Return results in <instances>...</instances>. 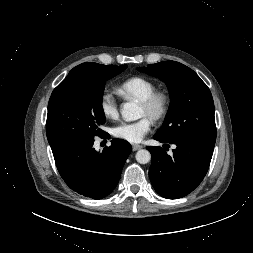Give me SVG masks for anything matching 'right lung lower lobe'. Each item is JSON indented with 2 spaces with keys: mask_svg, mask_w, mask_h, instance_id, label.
Listing matches in <instances>:
<instances>
[{
  "mask_svg": "<svg viewBox=\"0 0 253 253\" xmlns=\"http://www.w3.org/2000/svg\"><path fill=\"white\" fill-rule=\"evenodd\" d=\"M93 143L94 139L75 141L52 148V152L61 177L73 191L102 199L115 189L132 149L129 142L112 139L99 153Z\"/></svg>",
  "mask_w": 253,
  "mask_h": 253,
  "instance_id": "1",
  "label": "right lung lower lobe"
}]
</instances>
